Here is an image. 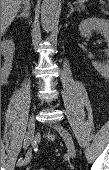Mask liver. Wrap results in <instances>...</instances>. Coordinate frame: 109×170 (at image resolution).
I'll use <instances>...</instances> for the list:
<instances>
[{
    "mask_svg": "<svg viewBox=\"0 0 109 170\" xmlns=\"http://www.w3.org/2000/svg\"><path fill=\"white\" fill-rule=\"evenodd\" d=\"M22 0H1V31L4 32L19 12Z\"/></svg>",
    "mask_w": 109,
    "mask_h": 170,
    "instance_id": "liver-1",
    "label": "liver"
}]
</instances>
